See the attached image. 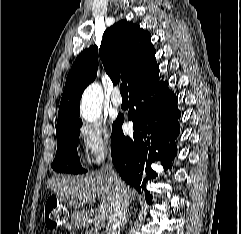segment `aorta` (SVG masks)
Returning <instances> with one entry per match:
<instances>
[{
	"mask_svg": "<svg viewBox=\"0 0 241 234\" xmlns=\"http://www.w3.org/2000/svg\"><path fill=\"white\" fill-rule=\"evenodd\" d=\"M103 101L102 88L98 83L89 85L82 95L81 116L87 122H94L101 115Z\"/></svg>",
	"mask_w": 241,
	"mask_h": 234,
	"instance_id": "aorta-1",
	"label": "aorta"
}]
</instances>
